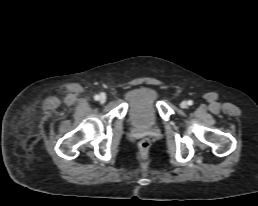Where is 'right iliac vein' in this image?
<instances>
[{"mask_svg":"<svg viewBox=\"0 0 258 206\" xmlns=\"http://www.w3.org/2000/svg\"><path fill=\"white\" fill-rule=\"evenodd\" d=\"M99 102L102 103V104L106 102V95L104 93H102L99 96Z\"/></svg>","mask_w":258,"mask_h":206,"instance_id":"1","label":"right iliac vein"}]
</instances>
